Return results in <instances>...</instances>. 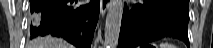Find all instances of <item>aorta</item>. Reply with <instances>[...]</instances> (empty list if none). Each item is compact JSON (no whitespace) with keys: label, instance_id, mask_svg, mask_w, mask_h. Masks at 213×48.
I'll list each match as a JSON object with an SVG mask.
<instances>
[{"label":"aorta","instance_id":"aorta-1","mask_svg":"<svg viewBox=\"0 0 213 48\" xmlns=\"http://www.w3.org/2000/svg\"><path fill=\"white\" fill-rule=\"evenodd\" d=\"M123 15L122 0H111L106 15L104 43L106 48H116Z\"/></svg>","mask_w":213,"mask_h":48}]
</instances>
